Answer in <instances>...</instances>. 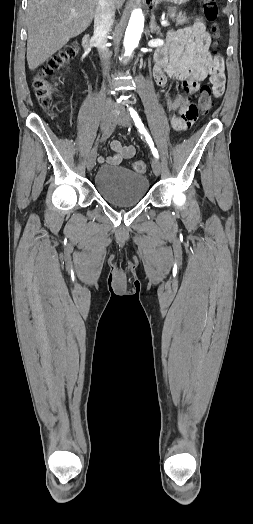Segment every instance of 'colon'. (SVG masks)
I'll use <instances>...</instances> for the list:
<instances>
[{
  "instance_id": "1",
  "label": "colon",
  "mask_w": 253,
  "mask_h": 524,
  "mask_svg": "<svg viewBox=\"0 0 253 524\" xmlns=\"http://www.w3.org/2000/svg\"><path fill=\"white\" fill-rule=\"evenodd\" d=\"M201 3L202 13L205 19L211 23L213 35L217 38L219 32L217 26L218 8L216 2L215 0H201ZM215 45H217V42H215ZM77 48L78 45L73 43L58 52L42 66L41 70L34 77L32 86L42 108L50 110L53 106L54 86L50 83L49 77L53 75L55 70L58 69L65 60L76 55ZM211 99V89L209 87L201 88L198 96V108L201 110L208 109L211 104ZM134 169L138 173H144L147 169V165L143 161H137L134 164Z\"/></svg>"
}]
</instances>
